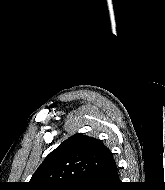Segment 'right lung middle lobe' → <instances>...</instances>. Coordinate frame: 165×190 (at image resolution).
<instances>
[{
    "label": "right lung middle lobe",
    "mask_w": 165,
    "mask_h": 190,
    "mask_svg": "<svg viewBox=\"0 0 165 190\" xmlns=\"http://www.w3.org/2000/svg\"><path fill=\"white\" fill-rule=\"evenodd\" d=\"M81 181L50 188V190H80Z\"/></svg>",
    "instance_id": "obj_1"
}]
</instances>
